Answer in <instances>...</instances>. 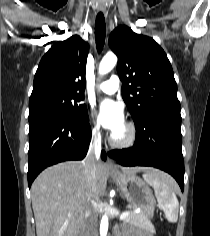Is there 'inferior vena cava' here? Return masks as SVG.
Wrapping results in <instances>:
<instances>
[{
	"instance_id": "1",
	"label": "inferior vena cava",
	"mask_w": 210,
	"mask_h": 236,
	"mask_svg": "<svg viewBox=\"0 0 210 236\" xmlns=\"http://www.w3.org/2000/svg\"><path fill=\"white\" fill-rule=\"evenodd\" d=\"M100 156V139L94 138L90 143L88 153L83 161V165L89 172L90 192L88 196V206L85 211V236H97V201L94 197L96 191V164Z\"/></svg>"
}]
</instances>
